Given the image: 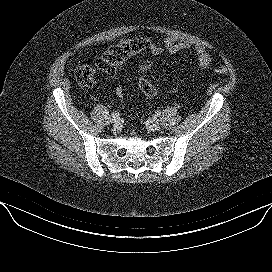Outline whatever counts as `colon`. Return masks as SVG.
<instances>
[{
	"mask_svg": "<svg viewBox=\"0 0 272 272\" xmlns=\"http://www.w3.org/2000/svg\"><path fill=\"white\" fill-rule=\"evenodd\" d=\"M147 47V40L142 38L131 39L121 44L110 47L104 52L94 64H82L75 69L74 77L78 84L90 87L96 82L99 73L111 74L116 66L129 57L141 52ZM151 61H145L140 66L138 87L146 96L154 97L157 95V89L148 81L146 73L151 66ZM214 71L218 74H225L226 68L223 66L216 67ZM118 97H123V89L121 86L115 88Z\"/></svg>",
	"mask_w": 272,
	"mask_h": 272,
	"instance_id": "1",
	"label": "colon"
}]
</instances>
